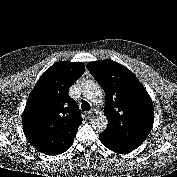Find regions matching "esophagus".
Segmentation results:
<instances>
[{
    "label": "esophagus",
    "instance_id": "obj_1",
    "mask_svg": "<svg viewBox=\"0 0 177 177\" xmlns=\"http://www.w3.org/2000/svg\"><path fill=\"white\" fill-rule=\"evenodd\" d=\"M87 114H88V119H89V120H92L93 115H94L93 112H92V111H89Z\"/></svg>",
    "mask_w": 177,
    "mask_h": 177
}]
</instances>
